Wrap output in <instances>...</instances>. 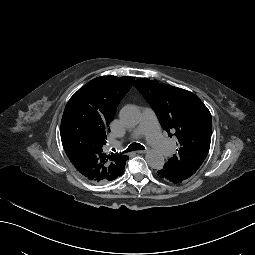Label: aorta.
Segmentation results:
<instances>
[{
	"instance_id": "aorta-1",
	"label": "aorta",
	"mask_w": 255,
	"mask_h": 255,
	"mask_svg": "<svg viewBox=\"0 0 255 255\" xmlns=\"http://www.w3.org/2000/svg\"><path fill=\"white\" fill-rule=\"evenodd\" d=\"M119 115L121 121L127 126L137 125L141 117L140 110L134 105L124 106ZM145 159L151 168L157 170L162 169L165 163L163 154L154 149H151L146 153Z\"/></svg>"
}]
</instances>
